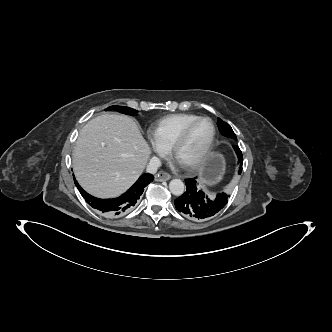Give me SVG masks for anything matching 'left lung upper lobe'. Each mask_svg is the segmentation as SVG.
Here are the masks:
<instances>
[{
	"label": "left lung upper lobe",
	"mask_w": 332,
	"mask_h": 332,
	"mask_svg": "<svg viewBox=\"0 0 332 332\" xmlns=\"http://www.w3.org/2000/svg\"><path fill=\"white\" fill-rule=\"evenodd\" d=\"M218 128L220 130V132L226 136V137H230L234 140H237V137L235 135V133L233 132L231 126L229 124H227L226 122L222 121L220 118L218 119Z\"/></svg>",
	"instance_id": "1"
}]
</instances>
